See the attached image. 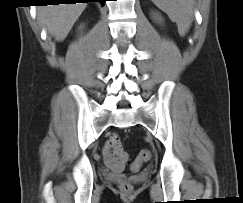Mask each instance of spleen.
<instances>
[{
  "instance_id": "obj_1",
  "label": "spleen",
  "mask_w": 243,
  "mask_h": 203,
  "mask_svg": "<svg viewBox=\"0 0 243 203\" xmlns=\"http://www.w3.org/2000/svg\"><path fill=\"white\" fill-rule=\"evenodd\" d=\"M165 12L178 26V32L184 36L190 28L194 14L195 0H151Z\"/></svg>"
}]
</instances>
